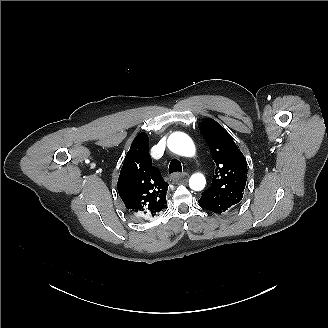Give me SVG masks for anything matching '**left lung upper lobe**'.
I'll use <instances>...</instances> for the list:
<instances>
[{
    "mask_svg": "<svg viewBox=\"0 0 328 328\" xmlns=\"http://www.w3.org/2000/svg\"><path fill=\"white\" fill-rule=\"evenodd\" d=\"M199 128L216 163L211 186L202 193L199 204L214 213L235 206L243 197L247 180V162L230 134L215 120L205 119Z\"/></svg>",
    "mask_w": 328,
    "mask_h": 328,
    "instance_id": "left-lung-upper-lobe-1",
    "label": "left lung upper lobe"
}]
</instances>
